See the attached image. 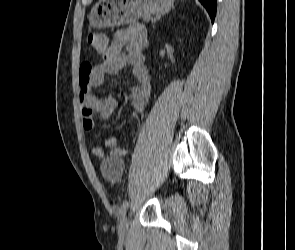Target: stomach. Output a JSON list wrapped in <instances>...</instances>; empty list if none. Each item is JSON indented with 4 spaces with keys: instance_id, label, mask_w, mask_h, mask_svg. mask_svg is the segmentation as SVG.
Masks as SVG:
<instances>
[{
    "instance_id": "1",
    "label": "stomach",
    "mask_w": 295,
    "mask_h": 250,
    "mask_svg": "<svg viewBox=\"0 0 295 250\" xmlns=\"http://www.w3.org/2000/svg\"><path fill=\"white\" fill-rule=\"evenodd\" d=\"M174 0H99L91 9L90 25L112 27L133 22L140 17L170 11Z\"/></svg>"
}]
</instances>
